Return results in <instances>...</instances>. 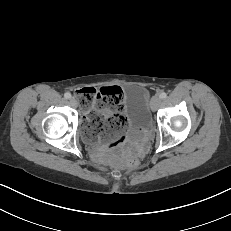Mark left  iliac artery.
Returning a JSON list of instances; mask_svg holds the SVG:
<instances>
[{"mask_svg":"<svg viewBox=\"0 0 231 231\" xmlns=\"http://www.w3.org/2000/svg\"><path fill=\"white\" fill-rule=\"evenodd\" d=\"M167 97V94L165 93V92H162L161 94H160V98L161 99H165Z\"/></svg>","mask_w":231,"mask_h":231,"instance_id":"left-iliac-artery-1","label":"left iliac artery"}]
</instances>
